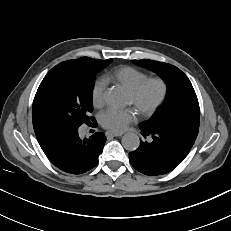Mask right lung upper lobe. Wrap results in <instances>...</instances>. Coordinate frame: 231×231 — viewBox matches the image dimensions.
Segmentation results:
<instances>
[{"label":"right lung upper lobe","mask_w":231,"mask_h":231,"mask_svg":"<svg viewBox=\"0 0 231 231\" xmlns=\"http://www.w3.org/2000/svg\"><path fill=\"white\" fill-rule=\"evenodd\" d=\"M76 60H79V61H91V60H94V59L89 58V57H82V58H79V59H76ZM36 129H38V128H36ZM36 129H34V130H36Z\"/></svg>","instance_id":"obj_1"}]
</instances>
